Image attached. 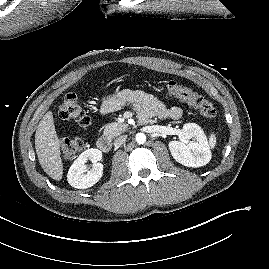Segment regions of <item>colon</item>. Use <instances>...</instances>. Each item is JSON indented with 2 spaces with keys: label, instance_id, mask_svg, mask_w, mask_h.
Masks as SVG:
<instances>
[{
  "label": "colon",
  "instance_id": "1",
  "mask_svg": "<svg viewBox=\"0 0 269 269\" xmlns=\"http://www.w3.org/2000/svg\"><path fill=\"white\" fill-rule=\"evenodd\" d=\"M166 92L195 108L203 116L212 118L216 115L214 105L204 96L198 94L190 88L182 86L173 80L164 82ZM58 114L61 119L74 121L83 128L90 124V117L81 106L76 94L68 93L59 105ZM60 147L64 159L71 160L75 158L83 149L84 141L81 138L65 136L61 139Z\"/></svg>",
  "mask_w": 269,
  "mask_h": 269
}]
</instances>
